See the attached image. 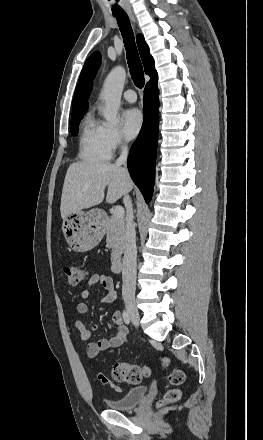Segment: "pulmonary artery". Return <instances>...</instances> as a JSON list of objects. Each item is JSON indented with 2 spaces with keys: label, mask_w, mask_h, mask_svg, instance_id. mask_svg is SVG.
Wrapping results in <instances>:
<instances>
[{
  "label": "pulmonary artery",
  "mask_w": 263,
  "mask_h": 440,
  "mask_svg": "<svg viewBox=\"0 0 263 440\" xmlns=\"http://www.w3.org/2000/svg\"><path fill=\"white\" fill-rule=\"evenodd\" d=\"M123 98H124L126 101H128V102H130V103H133V102L136 101L137 96H136V93H135L134 90H132V89H128V90L124 91V93H123Z\"/></svg>",
  "instance_id": "1"
}]
</instances>
